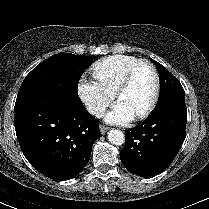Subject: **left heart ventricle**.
I'll list each match as a JSON object with an SVG mask.
<instances>
[{"label": "left heart ventricle", "instance_id": "1", "mask_svg": "<svg viewBox=\"0 0 209 209\" xmlns=\"http://www.w3.org/2000/svg\"><path fill=\"white\" fill-rule=\"evenodd\" d=\"M154 84L151 69L147 66H141L135 72L130 85L118 97V102H121L135 116L150 102Z\"/></svg>", "mask_w": 209, "mask_h": 209}]
</instances>
